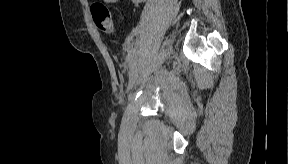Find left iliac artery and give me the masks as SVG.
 <instances>
[{
	"label": "left iliac artery",
	"instance_id": "1",
	"mask_svg": "<svg viewBox=\"0 0 288 164\" xmlns=\"http://www.w3.org/2000/svg\"><path fill=\"white\" fill-rule=\"evenodd\" d=\"M131 75H134V69L133 68L131 69Z\"/></svg>",
	"mask_w": 288,
	"mask_h": 164
}]
</instances>
